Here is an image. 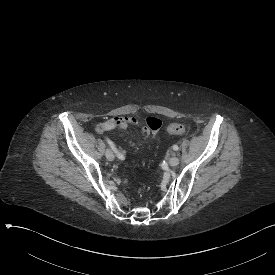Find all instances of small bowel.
Listing matches in <instances>:
<instances>
[{
  "instance_id": "1",
  "label": "small bowel",
  "mask_w": 275,
  "mask_h": 275,
  "mask_svg": "<svg viewBox=\"0 0 275 275\" xmlns=\"http://www.w3.org/2000/svg\"><path fill=\"white\" fill-rule=\"evenodd\" d=\"M133 120L132 119H121V118H115L113 122H109L108 124L104 125L105 129H108L109 127H114L116 129L123 130L126 128L127 124H132ZM144 123L147 127L144 128L143 130V135L150 137L153 135V133L157 132L158 130L161 129L162 124L158 120H154L153 117L148 116L145 118Z\"/></svg>"
}]
</instances>
